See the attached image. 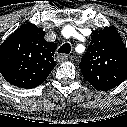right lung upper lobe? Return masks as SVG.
<instances>
[{
    "instance_id": "cb5924a9",
    "label": "right lung upper lobe",
    "mask_w": 127,
    "mask_h": 127,
    "mask_svg": "<svg viewBox=\"0 0 127 127\" xmlns=\"http://www.w3.org/2000/svg\"><path fill=\"white\" fill-rule=\"evenodd\" d=\"M44 36L42 29L27 23L0 45V72L7 82L30 89L47 79L56 66V44Z\"/></svg>"
}]
</instances>
